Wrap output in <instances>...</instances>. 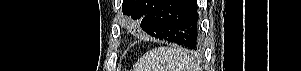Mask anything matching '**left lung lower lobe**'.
Returning a JSON list of instances; mask_svg holds the SVG:
<instances>
[{
	"instance_id": "1",
	"label": "left lung lower lobe",
	"mask_w": 301,
	"mask_h": 71,
	"mask_svg": "<svg viewBox=\"0 0 301 71\" xmlns=\"http://www.w3.org/2000/svg\"><path fill=\"white\" fill-rule=\"evenodd\" d=\"M196 0H158L143 17L141 28L155 38L199 50L201 37Z\"/></svg>"
}]
</instances>
